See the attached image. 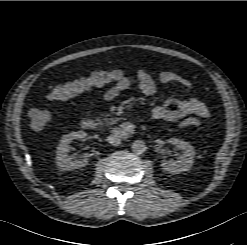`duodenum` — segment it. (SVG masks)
<instances>
[{
	"mask_svg": "<svg viewBox=\"0 0 247 245\" xmlns=\"http://www.w3.org/2000/svg\"><path fill=\"white\" fill-rule=\"evenodd\" d=\"M81 125L83 129L85 130H95L98 127V122L91 119V118H85L82 120ZM135 127L132 123H122L119 126L115 127L112 131L113 135L120 138L124 139L127 137H130L134 133Z\"/></svg>",
	"mask_w": 247,
	"mask_h": 245,
	"instance_id": "duodenum-1",
	"label": "duodenum"
}]
</instances>
